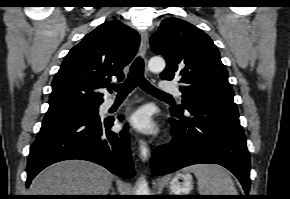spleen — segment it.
Instances as JSON below:
<instances>
[{
    "instance_id": "1",
    "label": "spleen",
    "mask_w": 290,
    "mask_h": 199,
    "mask_svg": "<svg viewBox=\"0 0 290 199\" xmlns=\"http://www.w3.org/2000/svg\"><path fill=\"white\" fill-rule=\"evenodd\" d=\"M186 172L194 173L200 195H237L234 182L229 173L216 164H196Z\"/></svg>"
}]
</instances>
